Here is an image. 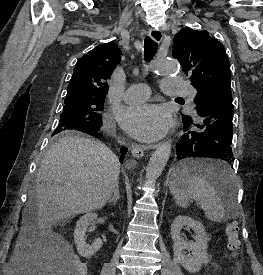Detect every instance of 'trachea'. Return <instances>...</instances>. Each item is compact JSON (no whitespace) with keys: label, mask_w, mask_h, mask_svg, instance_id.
<instances>
[{"label":"trachea","mask_w":263,"mask_h":275,"mask_svg":"<svg viewBox=\"0 0 263 275\" xmlns=\"http://www.w3.org/2000/svg\"><path fill=\"white\" fill-rule=\"evenodd\" d=\"M158 48V44L149 36L145 37L144 40V60L149 62L154 57Z\"/></svg>","instance_id":"trachea-1"}]
</instances>
